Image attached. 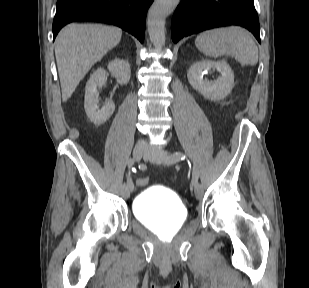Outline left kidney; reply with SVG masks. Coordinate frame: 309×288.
I'll use <instances>...</instances> for the list:
<instances>
[{
  "mask_svg": "<svg viewBox=\"0 0 309 288\" xmlns=\"http://www.w3.org/2000/svg\"><path fill=\"white\" fill-rule=\"evenodd\" d=\"M216 69L220 77L215 81L203 78L204 70ZM190 85L211 101L224 99L234 86V74L226 61L201 60L193 63L187 72Z\"/></svg>",
  "mask_w": 309,
  "mask_h": 288,
  "instance_id": "left-kidney-1",
  "label": "left kidney"
}]
</instances>
